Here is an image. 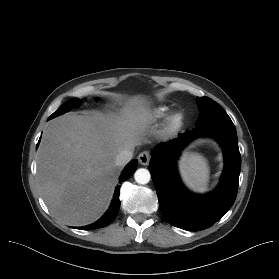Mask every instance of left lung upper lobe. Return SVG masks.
<instances>
[{
  "mask_svg": "<svg viewBox=\"0 0 279 279\" xmlns=\"http://www.w3.org/2000/svg\"><path fill=\"white\" fill-rule=\"evenodd\" d=\"M196 100L200 110L196 126L215 122H232L228 114L223 110V108L212 99L208 97H197Z\"/></svg>",
  "mask_w": 279,
  "mask_h": 279,
  "instance_id": "left-lung-upper-lobe-1",
  "label": "left lung upper lobe"
}]
</instances>
